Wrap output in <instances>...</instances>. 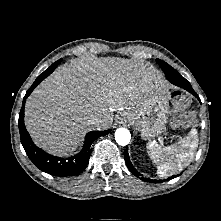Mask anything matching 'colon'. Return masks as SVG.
Masks as SVG:
<instances>
[{
  "mask_svg": "<svg viewBox=\"0 0 221 221\" xmlns=\"http://www.w3.org/2000/svg\"><path fill=\"white\" fill-rule=\"evenodd\" d=\"M176 117L173 120L174 127H180L182 124H188L192 120L190 114L185 113L189 105V98L185 93H179L173 98Z\"/></svg>",
  "mask_w": 221,
  "mask_h": 221,
  "instance_id": "5ec220e1",
  "label": "colon"
}]
</instances>
